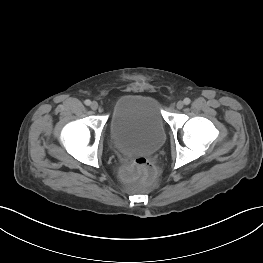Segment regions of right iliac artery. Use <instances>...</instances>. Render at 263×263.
<instances>
[{
    "mask_svg": "<svg viewBox=\"0 0 263 263\" xmlns=\"http://www.w3.org/2000/svg\"><path fill=\"white\" fill-rule=\"evenodd\" d=\"M84 103H85V105L89 106L91 104V101L87 99V100H85Z\"/></svg>",
    "mask_w": 263,
    "mask_h": 263,
    "instance_id": "obj_1",
    "label": "right iliac artery"
}]
</instances>
